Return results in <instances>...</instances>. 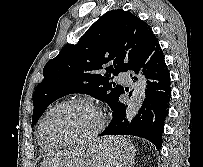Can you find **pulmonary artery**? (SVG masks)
<instances>
[{"mask_svg":"<svg viewBox=\"0 0 203 167\" xmlns=\"http://www.w3.org/2000/svg\"><path fill=\"white\" fill-rule=\"evenodd\" d=\"M118 80L124 83H129L131 81L129 75L125 72H120L118 74Z\"/></svg>","mask_w":203,"mask_h":167,"instance_id":"e3ab8cb5","label":"pulmonary artery"}]
</instances>
